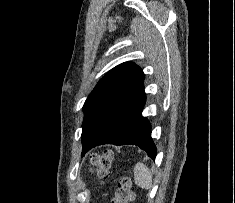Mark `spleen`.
Listing matches in <instances>:
<instances>
[{
    "mask_svg": "<svg viewBox=\"0 0 235 203\" xmlns=\"http://www.w3.org/2000/svg\"><path fill=\"white\" fill-rule=\"evenodd\" d=\"M134 179L135 183L144 189H150L152 186V174L149 168L143 164L138 162L134 167Z\"/></svg>",
    "mask_w": 235,
    "mask_h": 203,
    "instance_id": "3e777b00",
    "label": "spleen"
}]
</instances>
